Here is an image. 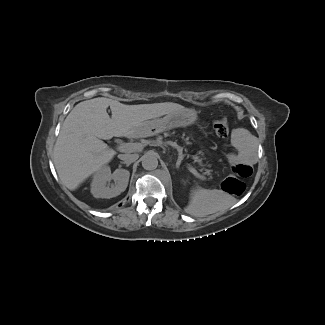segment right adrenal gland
Returning a JSON list of instances; mask_svg holds the SVG:
<instances>
[{"label":"right adrenal gland","instance_id":"2a0ac1e0","mask_svg":"<svg viewBox=\"0 0 325 325\" xmlns=\"http://www.w3.org/2000/svg\"><path fill=\"white\" fill-rule=\"evenodd\" d=\"M122 164H126L127 167H129L130 163H126V162H120L119 167H121Z\"/></svg>","mask_w":325,"mask_h":325}]
</instances>
